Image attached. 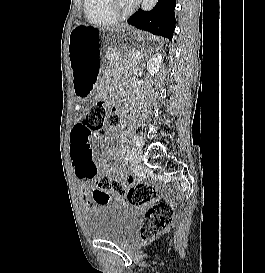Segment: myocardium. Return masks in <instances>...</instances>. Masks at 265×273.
Listing matches in <instances>:
<instances>
[{
	"label": "myocardium",
	"mask_w": 265,
	"mask_h": 273,
	"mask_svg": "<svg viewBox=\"0 0 265 273\" xmlns=\"http://www.w3.org/2000/svg\"><path fill=\"white\" fill-rule=\"evenodd\" d=\"M104 2H105V8L107 12L118 20V19H124L128 17L135 10L138 0L132 2L124 10L118 9V7L116 6L115 0H104Z\"/></svg>",
	"instance_id": "myocardium-1"
}]
</instances>
